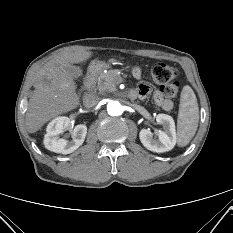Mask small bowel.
Returning <instances> with one entry per match:
<instances>
[{"label": "small bowel", "instance_id": "small-bowel-1", "mask_svg": "<svg viewBox=\"0 0 233 233\" xmlns=\"http://www.w3.org/2000/svg\"><path fill=\"white\" fill-rule=\"evenodd\" d=\"M133 75L136 78H139L141 75L140 69L135 68L133 70ZM133 91H135L136 97L140 98H145L152 93L155 104L165 111H170L173 108V102L169 99H166L159 89L152 90L147 84L143 83Z\"/></svg>", "mask_w": 233, "mask_h": 233}]
</instances>
